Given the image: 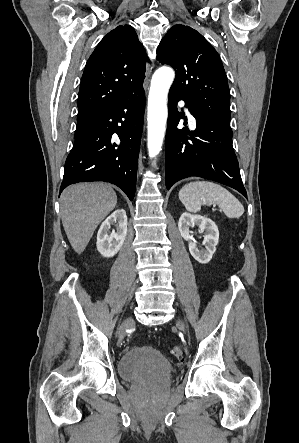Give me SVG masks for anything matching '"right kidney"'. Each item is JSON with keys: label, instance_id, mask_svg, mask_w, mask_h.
I'll return each mask as SVG.
<instances>
[{"label": "right kidney", "instance_id": "right-kidney-1", "mask_svg": "<svg viewBox=\"0 0 299 443\" xmlns=\"http://www.w3.org/2000/svg\"><path fill=\"white\" fill-rule=\"evenodd\" d=\"M116 224V231L110 233L111 225ZM127 235V216L124 209L115 210L101 224L97 234V250L104 257H112L120 250Z\"/></svg>", "mask_w": 299, "mask_h": 443}]
</instances>
